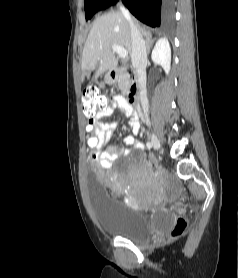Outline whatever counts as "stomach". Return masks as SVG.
Returning <instances> with one entry per match:
<instances>
[{
  "label": "stomach",
  "mask_w": 238,
  "mask_h": 278,
  "mask_svg": "<svg viewBox=\"0 0 238 278\" xmlns=\"http://www.w3.org/2000/svg\"><path fill=\"white\" fill-rule=\"evenodd\" d=\"M105 82L108 83V84H111V83L115 82V79H113L111 77L110 73H107L106 76H105Z\"/></svg>",
  "instance_id": "1"
}]
</instances>
